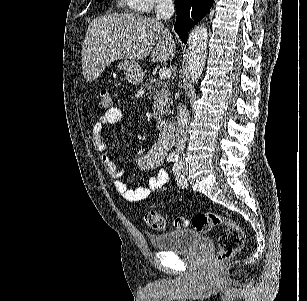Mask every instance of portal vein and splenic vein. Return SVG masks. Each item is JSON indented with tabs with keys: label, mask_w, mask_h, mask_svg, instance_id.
I'll return each mask as SVG.
<instances>
[{
	"label": "portal vein and splenic vein",
	"mask_w": 307,
	"mask_h": 301,
	"mask_svg": "<svg viewBox=\"0 0 307 301\" xmlns=\"http://www.w3.org/2000/svg\"><path fill=\"white\" fill-rule=\"evenodd\" d=\"M159 76H160V78H170V76H171L170 68H164V66H163V68H160Z\"/></svg>",
	"instance_id": "1"
}]
</instances>
